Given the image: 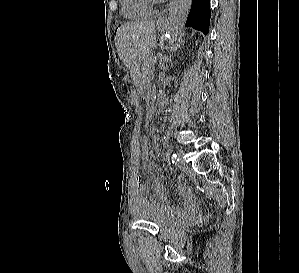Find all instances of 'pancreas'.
<instances>
[{"label": "pancreas", "mask_w": 299, "mask_h": 273, "mask_svg": "<svg viewBox=\"0 0 299 273\" xmlns=\"http://www.w3.org/2000/svg\"><path fill=\"white\" fill-rule=\"evenodd\" d=\"M154 68H153V61L151 56H148L145 58V60L142 63V76L145 80H148L151 75L153 74Z\"/></svg>", "instance_id": "cf45deb5"}]
</instances>
